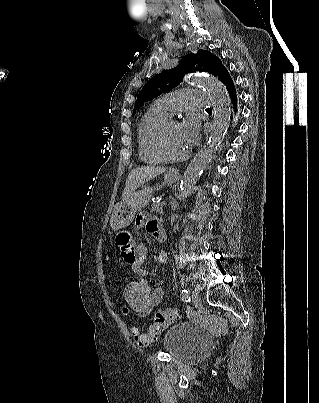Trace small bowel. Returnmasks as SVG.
Listing matches in <instances>:
<instances>
[{"instance_id": "obj_1", "label": "small bowel", "mask_w": 319, "mask_h": 403, "mask_svg": "<svg viewBox=\"0 0 319 403\" xmlns=\"http://www.w3.org/2000/svg\"><path fill=\"white\" fill-rule=\"evenodd\" d=\"M136 228H145L149 234H151L157 241L162 242L165 240V233L161 228L159 221L150 213H140L135 220ZM115 249L121 250V262L131 265L132 270L137 275H147L146 270L143 269L142 264L144 258L148 253V248L144 244L135 243V234L130 233L129 228H122L115 231ZM158 263L163 264L167 260V254L160 252L158 255ZM99 264H108V255H99ZM128 285V284H127ZM127 285L125 287H127ZM152 300H150V309L147 313H136L139 317L147 316L150 311L157 306L163 298V289L161 287L151 288ZM123 297L125 295L123 291ZM126 303V304H125ZM121 308H130V302H121Z\"/></svg>"}]
</instances>
